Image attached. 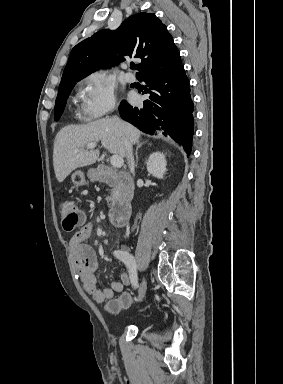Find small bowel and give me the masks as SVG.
Here are the masks:
<instances>
[{
    "instance_id": "c3829d8e",
    "label": "small bowel",
    "mask_w": 283,
    "mask_h": 384,
    "mask_svg": "<svg viewBox=\"0 0 283 384\" xmlns=\"http://www.w3.org/2000/svg\"><path fill=\"white\" fill-rule=\"evenodd\" d=\"M92 232L93 224L87 223L72 236L69 242L70 255L84 290L97 303L107 304L116 293L122 292L125 286L130 285V273L122 271L119 280L112 281L109 287L100 288L98 286L95 272L99 262L95 249L89 243Z\"/></svg>"
}]
</instances>
